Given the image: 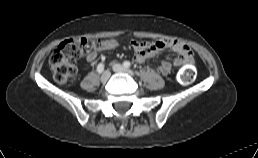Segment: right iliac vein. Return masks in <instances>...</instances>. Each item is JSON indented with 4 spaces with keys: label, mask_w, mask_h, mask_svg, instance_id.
<instances>
[{
    "label": "right iliac vein",
    "mask_w": 258,
    "mask_h": 158,
    "mask_svg": "<svg viewBox=\"0 0 258 158\" xmlns=\"http://www.w3.org/2000/svg\"><path fill=\"white\" fill-rule=\"evenodd\" d=\"M110 76H111L110 71L106 70V71L101 75V81H102V82L108 81L109 78H110Z\"/></svg>",
    "instance_id": "63e3f726"
}]
</instances>
